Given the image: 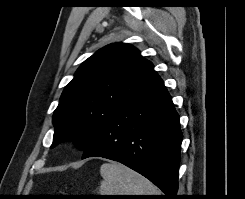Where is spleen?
I'll return each instance as SVG.
<instances>
[{
  "label": "spleen",
  "instance_id": "3e777b00",
  "mask_svg": "<svg viewBox=\"0 0 245 199\" xmlns=\"http://www.w3.org/2000/svg\"><path fill=\"white\" fill-rule=\"evenodd\" d=\"M100 173V195H160L149 180L121 163H104Z\"/></svg>",
  "mask_w": 245,
  "mask_h": 199
}]
</instances>
